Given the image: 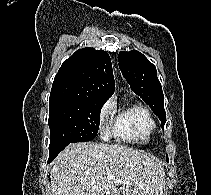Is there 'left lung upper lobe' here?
<instances>
[{
	"label": "left lung upper lobe",
	"instance_id": "1",
	"mask_svg": "<svg viewBox=\"0 0 211 195\" xmlns=\"http://www.w3.org/2000/svg\"><path fill=\"white\" fill-rule=\"evenodd\" d=\"M118 59L122 75L131 89L149 105L164 127L166 123L164 95L154 64L137 50L120 52Z\"/></svg>",
	"mask_w": 211,
	"mask_h": 195
}]
</instances>
